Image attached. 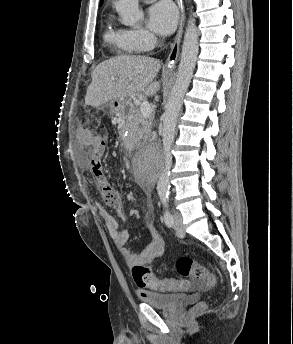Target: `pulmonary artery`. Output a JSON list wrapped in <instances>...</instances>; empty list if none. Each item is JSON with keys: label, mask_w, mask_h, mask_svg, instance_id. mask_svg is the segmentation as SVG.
I'll return each mask as SVG.
<instances>
[{"label": "pulmonary artery", "mask_w": 293, "mask_h": 344, "mask_svg": "<svg viewBox=\"0 0 293 344\" xmlns=\"http://www.w3.org/2000/svg\"><path fill=\"white\" fill-rule=\"evenodd\" d=\"M142 1L149 3V2H153L155 0H142Z\"/></svg>", "instance_id": "pulmonary-artery-1"}]
</instances>
